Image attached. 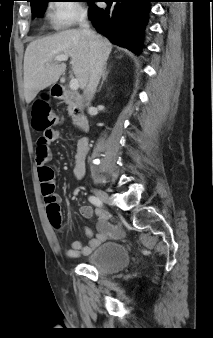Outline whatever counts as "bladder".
Returning <instances> with one entry per match:
<instances>
[{
  "label": "bladder",
  "mask_w": 213,
  "mask_h": 338,
  "mask_svg": "<svg viewBox=\"0 0 213 338\" xmlns=\"http://www.w3.org/2000/svg\"><path fill=\"white\" fill-rule=\"evenodd\" d=\"M87 266L102 274H114L122 271L130 264L126 246L120 242H105L93 250Z\"/></svg>",
  "instance_id": "31cf9c89"
}]
</instances>
